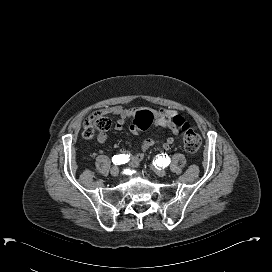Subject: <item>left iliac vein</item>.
<instances>
[{
    "mask_svg": "<svg viewBox=\"0 0 272 272\" xmlns=\"http://www.w3.org/2000/svg\"><path fill=\"white\" fill-rule=\"evenodd\" d=\"M155 172L160 177H164L166 175V171L163 168H156Z\"/></svg>",
    "mask_w": 272,
    "mask_h": 272,
    "instance_id": "obj_1",
    "label": "left iliac vein"
}]
</instances>
